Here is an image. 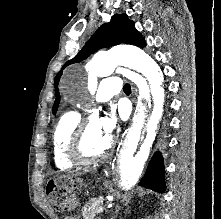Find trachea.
I'll return each instance as SVG.
<instances>
[{"label": "trachea", "mask_w": 221, "mask_h": 219, "mask_svg": "<svg viewBox=\"0 0 221 219\" xmlns=\"http://www.w3.org/2000/svg\"><path fill=\"white\" fill-rule=\"evenodd\" d=\"M123 90H124V92H125L126 94H130V93H131V86H130V84H125V85L123 86Z\"/></svg>", "instance_id": "obj_1"}]
</instances>
